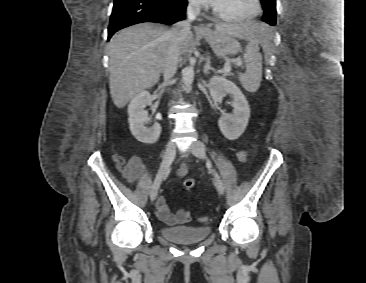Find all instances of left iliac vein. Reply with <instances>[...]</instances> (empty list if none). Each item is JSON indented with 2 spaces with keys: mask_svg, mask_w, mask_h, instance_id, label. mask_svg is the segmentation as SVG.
<instances>
[{
  "mask_svg": "<svg viewBox=\"0 0 366 283\" xmlns=\"http://www.w3.org/2000/svg\"><path fill=\"white\" fill-rule=\"evenodd\" d=\"M190 152L194 156H196L200 159H206L205 150L200 141H196L192 144V146L190 148ZM213 175H214V182H215L218 192L220 194H224L225 188H224V184H223V181H222L220 175L215 170H213Z\"/></svg>",
  "mask_w": 366,
  "mask_h": 283,
  "instance_id": "obj_1",
  "label": "left iliac vein"
}]
</instances>
